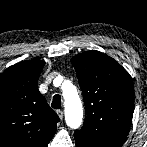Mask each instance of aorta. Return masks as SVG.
<instances>
[{
	"instance_id": "762f6f07",
	"label": "aorta",
	"mask_w": 147,
	"mask_h": 147,
	"mask_svg": "<svg viewBox=\"0 0 147 147\" xmlns=\"http://www.w3.org/2000/svg\"><path fill=\"white\" fill-rule=\"evenodd\" d=\"M65 119L67 125L72 129H77L83 118V108L76 87L69 83L63 88Z\"/></svg>"
}]
</instances>
